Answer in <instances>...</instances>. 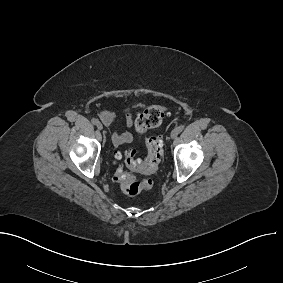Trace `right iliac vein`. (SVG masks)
Segmentation results:
<instances>
[{
    "instance_id": "obj_1",
    "label": "right iliac vein",
    "mask_w": 283,
    "mask_h": 283,
    "mask_svg": "<svg viewBox=\"0 0 283 283\" xmlns=\"http://www.w3.org/2000/svg\"><path fill=\"white\" fill-rule=\"evenodd\" d=\"M97 128H98L99 130H102V129H103L102 124H101V123H98V124H97Z\"/></svg>"
}]
</instances>
